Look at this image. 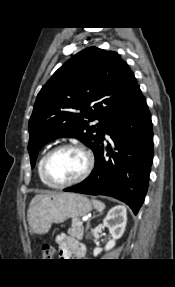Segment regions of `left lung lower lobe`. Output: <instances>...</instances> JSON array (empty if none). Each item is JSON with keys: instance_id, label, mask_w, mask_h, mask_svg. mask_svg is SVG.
<instances>
[{"instance_id": "left-lung-lower-lobe-1", "label": "left lung lower lobe", "mask_w": 175, "mask_h": 287, "mask_svg": "<svg viewBox=\"0 0 175 287\" xmlns=\"http://www.w3.org/2000/svg\"><path fill=\"white\" fill-rule=\"evenodd\" d=\"M105 133L112 141L104 146L103 135L94 154L92 173L64 191L111 196L137 214L147 193L153 162L151 115L139 86L131 102L112 118Z\"/></svg>"}]
</instances>
